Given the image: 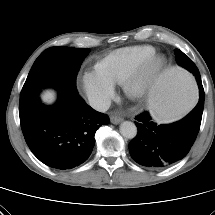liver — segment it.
<instances>
[{
    "label": "liver",
    "instance_id": "1",
    "mask_svg": "<svg viewBox=\"0 0 215 215\" xmlns=\"http://www.w3.org/2000/svg\"><path fill=\"white\" fill-rule=\"evenodd\" d=\"M41 98L45 103H52L55 99V94L53 91H45Z\"/></svg>",
    "mask_w": 215,
    "mask_h": 215
}]
</instances>
